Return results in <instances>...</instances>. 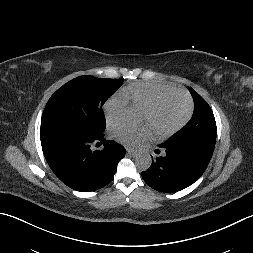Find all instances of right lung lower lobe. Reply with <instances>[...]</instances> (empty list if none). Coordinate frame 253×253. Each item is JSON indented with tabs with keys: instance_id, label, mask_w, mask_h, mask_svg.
<instances>
[{
	"instance_id": "1",
	"label": "right lung lower lobe",
	"mask_w": 253,
	"mask_h": 253,
	"mask_svg": "<svg viewBox=\"0 0 253 253\" xmlns=\"http://www.w3.org/2000/svg\"><path fill=\"white\" fill-rule=\"evenodd\" d=\"M44 156L55 175L70 188L89 192L108 184L126 150L104 135L91 137L63 128L41 130ZM94 142H103L102 150L93 151Z\"/></svg>"
}]
</instances>
